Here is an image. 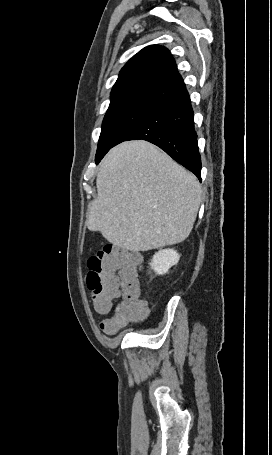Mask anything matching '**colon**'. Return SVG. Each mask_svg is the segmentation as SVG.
<instances>
[{
    "label": "colon",
    "mask_w": 272,
    "mask_h": 455,
    "mask_svg": "<svg viewBox=\"0 0 272 455\" xmlns=\"http://www.w3.org/2000/svg\"><path fill=\"white\" fill-rule=\"evenodd\" d=\"M140 257L124 248L107 244L87 261L86 283L93 307L111 316L100 324L113 334L147 312L138 273ZM121 295V300L117 298Z\"/></svg>",
    "instance_id": "1"
}]
</instances>
